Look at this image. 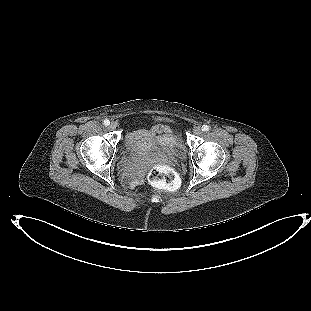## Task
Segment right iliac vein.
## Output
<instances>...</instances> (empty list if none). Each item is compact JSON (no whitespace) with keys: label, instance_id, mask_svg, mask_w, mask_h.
Returning a JSON list of instances; mask_svg holds the SVG:
<instances>
[{"label":"right iliac vein","instance_id":"1","mask_svg":"<svg viewBox=\"0 0 311 311\" xmlns=\"http://www.w3.org/2000/svg\"><path fill=\"white\" fill-rule=\"evenodd\" d=\"M109 128L111 130H115L117 128V123L116 122H111V124L109 125Z\"/></svg>","mask_w":311,"mask_h":311}]
</instances>
